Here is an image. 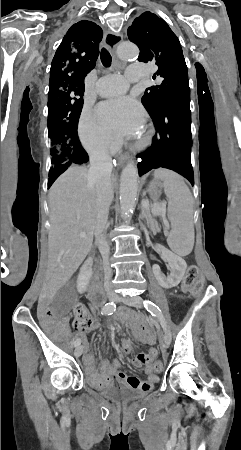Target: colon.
Wrapping results in <instances>:
<instances>
[{
    "instance_id": "5ec220e1",
    "label": "colon",
    "mask_w": 241,
    "mask_h": 450,
    "mask_svg": "<svg viewBox=\"0 0 241 450\" xmlns=\"http://www.w3.org/2000/svg\"><path fill=\"white\" fill-rule=\"evenodd\" d=\"M199 269L196 265H191L183 278L182 289L184 291L193 292L194 294H201L203 292V282L199 280ZM85 306L86 303L83 300H78L76 302V306L72 309V314L74 316L84 315L85 314ZM155 369L160 371L162 369L161 362H156Z\"/></svg>"
}]
</instances>
